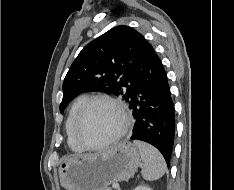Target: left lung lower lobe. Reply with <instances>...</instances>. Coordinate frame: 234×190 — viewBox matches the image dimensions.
<instances>
[{"instance_id":"0a47b994","label":"left lung lower lobe","mask_w":234,"mask_h":190,"mask_svg":"<svg viewBox=\"0 0 234 190\" xmlns=\"http://www.w3.org/2000/svg\"><path fill=\"white\" fill-rule=\"evenodd\" d=\"M129 103L135 119L131 139L155 146L169 166L175 132L174 104L162 62L145 38Z\"/></svg>"}]
</instances>
